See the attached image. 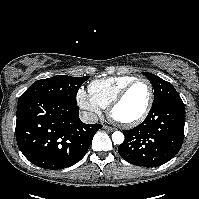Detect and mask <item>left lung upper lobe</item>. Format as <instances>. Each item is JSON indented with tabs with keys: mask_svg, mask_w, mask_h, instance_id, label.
Returning <instances> with one entry per match:
<instances>
[{
	"mask_svg": "<svg viewBox=\"0 0 199 199\" xmlns=\"http://www.w3.org/2000/svg\"><path fill=\"white\" fill-rule=\"evenodd\" d=\"M143 74L149 79L154 88L155 95L152 105L157 104L163 100L179 96L171 83L151 73L143 72Z\"/></svg>",
	"mask_w": 199,
	"mask_h": 199,
	"instance_id": "left-lung-upper-lobe-1",
	"label": "left lung upper lobe"
}]
</instances>
